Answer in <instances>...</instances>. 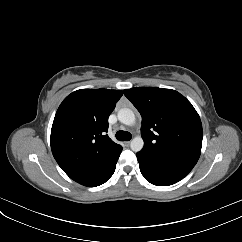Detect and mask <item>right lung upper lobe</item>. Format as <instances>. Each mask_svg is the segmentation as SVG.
Masks as SVG:
<instances>
[{
    "instance_id": "1",
    "label": "right lung upper lobe",
    "mask_w": 242,
    "mask_h": 242,
    "mask_svg": "<svg viewBox=\"0 0 242 242\" xmlns=\"http://www.w3.org/2000/svg\"><path fill=\"white\" fill-rule=\"evenodd\" d=\"M122 95L121 90L80 89L59 106L51 129V150L71 179L121 147L106 133L108 117Z\"/></svg>"
}]
</instances>
